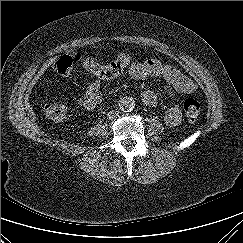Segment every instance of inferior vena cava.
<instances>
[{
  "label": "inferior vena cava",
  "instance_id": "602c4592",
  "mask_svg": "<svg viewBox=\"0 0 243 243\" xmlns=\"http://www.w3.org/2000/svg\"><path fill=\"white\" fill-rule=\"evenodd\" d=\"M118 116H119V111L117 110L109 111L107 114V118L110 120L116 119Z\"/></svg>",
  "mask_w": 243,
  "mask_h": 243
}]
</instances>
